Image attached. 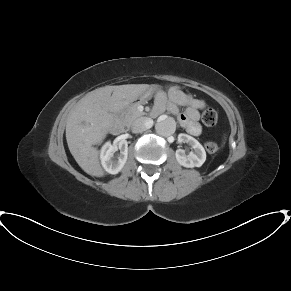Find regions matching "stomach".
Returning a JSON list of instances; mask_svg holds the SVG:
<instances>
[{"mask_svg": "<svg viewBox=\"0 0 291 291\" xmlns=\"http://www.w3.org/2000/svg\"><path fill=\"white\" fill-rule=\"evenodd\" d=\"M158 90V86L157 85H151L142 95H141V99L145 100V99H149L153 93H155Z\"/></svg>", "mask_w": 291, "mask_h": 291, "instance_id": "obj_1", "label": "stomach"}]
</instances>
